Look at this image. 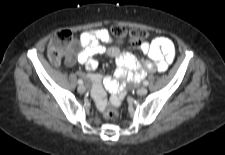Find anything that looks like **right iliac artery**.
<instances>
[{
    "label": "right iliac artery",
    "mask_w": 225,
    "mask_h": 155,
    "mask_svg": "<svg viewBox=\"0 0 225 155\" xmlns=\"http://www.w3.org/2000/svg\"><path fill=\"white\" fill-rule=\"evenodd\" d=\"M78 84H83V81L81 79L78 80Z\"/></svg>",
    "instance_id": "82829eb1"
}]
</instances>
